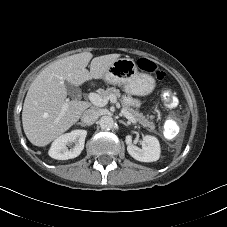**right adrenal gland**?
I'll list each match as a JSON object with an SVG mask.
<instances>
[{
    "label": "right adrenal gland",
    "mask_w": 227,
    "mask_h": 227,
    "mask_svg": "<svg viewBox=\"0 0 227 227\" xmlns=\"http://www.w3.org/2000/svg\"><path fill=\"white\" fill-rule=\"evenodd\" d=\"M78 125H81V126H86L85 124L81 123V122H78L77 123Z\"/></svg>",
    "instance_id": "right-adrenal-gland-1"
}]
</instances>
